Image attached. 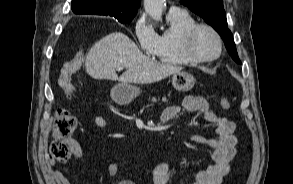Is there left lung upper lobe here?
I'll use <instances>...</instances> for the list:
<instances>
[{
    "label": "left lung upper lobe",
    "mask_w": 293,
    "mask_h": 184,
    "mask_svg": "<svg viewBox=\"0 0 293 184\" xmlns=\"http://www.w3.org/2000/svg\"><path fill=\"white\" fill-rule=\"evenodd\" d=\"M180 3L206 20L220 34L228 53L240 64L233 35L227 26L222 0H183Z\"/></svg>",
    "instance_id": "1"
}]
</instances>
